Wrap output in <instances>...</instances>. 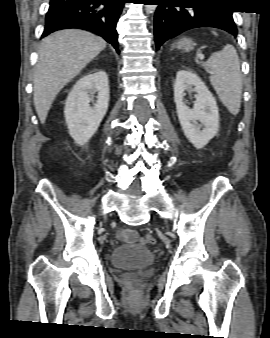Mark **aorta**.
Here are the masks:
<instances>
[{
	"label": "aorta",
	"mask_w": 270,
	"mask_h": 338,
	"mask_svg": "<svg viewBox=\"0 0 270 338\" xmlns=\"http://www.w3.org/2000/svg\"><path fill=\"white\" fill-rule=\"evenodd\" d=\"M156 9V6L155 5H147L146 6V10L147 11H154Z\"/></svg>",
	"instance_id": "762f6f07"
}]
</instances>
